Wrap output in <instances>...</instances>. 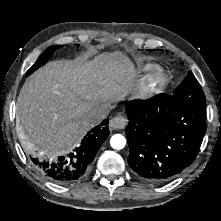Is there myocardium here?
<instances>
[{
    "mask_svg": "<svg viewBox=\"0 0 221 221\" xmlns=\"http://www.w3.org/2000/svg\"><path fill=\"white\" fill-rule=\"evenodd\" d=\"M168 82L167 74L159 68H153L140 85L142 95L159 92Z\"/></svg>",
    "mask_w": 221,
    "mask_h": 221,
    "instance_id": "1",
    "label": "myocardium"
}]
</instances>
